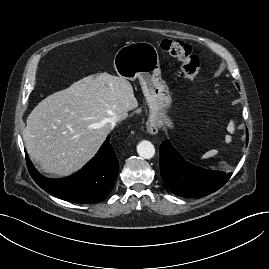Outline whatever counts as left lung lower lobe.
<instances>
[{
    "instance_id": "obj_1",
    "label": "left lung lower lobe",
    "mask_w": 269,
    "mask_h": 269,
    "mask_svg": "<svg viewBox=\"0 0 269 269\" xmlns=\"http://www.w3.org/2000/svg\"><path fill=\"white\" fill-rule=\"evenodd\" d=\"M159 153L162 180L171 192L181 197L193 198L211 194L222 187L232 175L231 172L226 174L191 165L168 140L162 142Z\"/></svg>"
}]
</instances>
